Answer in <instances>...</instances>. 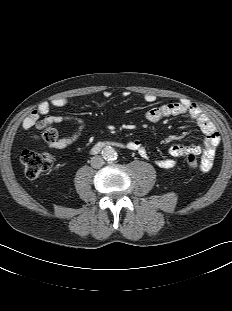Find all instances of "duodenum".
<instances>
[{"instance_id": "410a0bca", "label": "duodenum", "mask_w": 232, "mask_h": 311, "mask_svg": "<svg viewBox=\"0 0 232 311\" xmlns=\"http://www.w3.org/2000/svg\"><path fill=\"white\" fill-rule=\"evenodd\" d=\"M107 147H115V148L123 149V148H127V145L121 142H117V141H101L93 147V151L98 152Z\"/></svg>"}]
</instances>
